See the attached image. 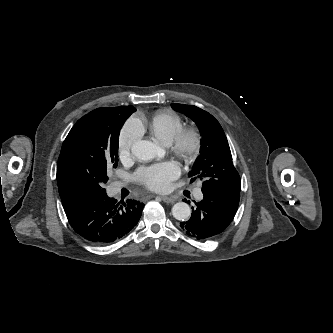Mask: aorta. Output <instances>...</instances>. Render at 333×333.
I'll return each instance as SVG.
<instances>
[{"mask_svg": "<svg viewBox=\"0 0 333 333\" xmlns=\"http://www.w3.org/2000/svg\"><path fill=\"white\" fill-rule=\"evenodd\" d=\"M133 155L139 160H151L157 155V146L148 140H140L133 144ZM172 215L177 220L185 221L191 215V209L185 202H178L172 207Z\"/></svg>", "mask_w": 333, "mask_h": 333, "instance_id": "1", "label": "aorta"}]
</instances>
